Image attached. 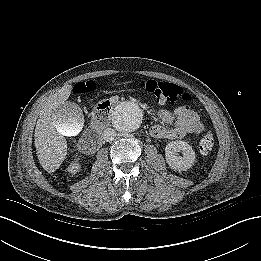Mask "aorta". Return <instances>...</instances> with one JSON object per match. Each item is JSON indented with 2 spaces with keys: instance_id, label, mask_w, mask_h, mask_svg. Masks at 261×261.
<instances>
[{
  "instance_id": "762f6f07",
  "label": "aorta",
  "mask_w": 261,
  "mask_h": 261,
  "mask_svg": "<svg viewBox=\"0 0 261 261\" xmlns=\"http://www.w3.org/2000/svg\"><path fill=\"white\" fill-rule=\"evenodd\" d=\"M143 113L134 102H123L115 107L112 113V125L122 133L136 131L142 124Z\"/></svg>"
}]
</instances>
